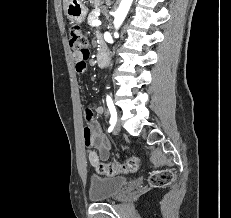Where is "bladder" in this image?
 Wrapping results in <instances>:
<instances>
[{"mask_svg":"<svg viewBox=\"0 0 231 218\" xmlns=\"http://www.w3.org/2000/svg\"><path fill=\"white\" fill-rule=\"evenodd\" d=\"M128 180L122 176L99 177L92 176L89 184V199L101 202L116 197L127 185Z\"/></svg>","mask_w":231,"mask_h":218,"instance_id":"bladder-1","label":"bladder"}]
</instances>
